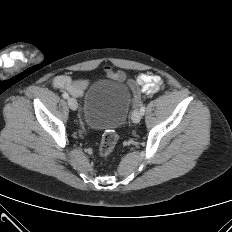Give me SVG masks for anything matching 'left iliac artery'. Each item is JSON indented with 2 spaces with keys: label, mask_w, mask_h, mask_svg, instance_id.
Returning <instances> with one entry per match:
<instances>
[{
  "label": "left iliac artery",
  "mask_w": 232,
  "mask_h": 232,
  "mask_svg": "<svg viewBox=\"0 0 232 232\" xmlns=\"http://www.w3.org/2000/svg\"><path fill=\"white\" fill-rule=\"evenodd\" d=\"M145 109H146L145 105H142L141 108H140V112H141L142 115H144Z\"/></svg>",
  "instance_id": "1"
}]
</instances>
